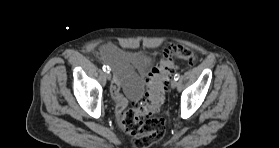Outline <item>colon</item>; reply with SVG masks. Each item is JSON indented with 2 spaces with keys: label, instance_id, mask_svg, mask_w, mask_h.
Instances as JSON below:
<instances>
[{
  "label": "colon",
  "instance_id": "colon-1",
  "mask_svg": "<svg viewBox=\"0 0 279 148\" xmlns=\"http://www.w3.org/2000/svg\"><path fill=\"white\" fill-rule=\"evenodd\" d=\"M177 60L193 63L194 51L181 45H170L164 52L160 65L154 68L147 80L144 100L133 104L119 114L122 130L132 137L135 148H147L159 141L165 133V123L155 114L160 110L171 73Z\"/></svg>",
  "mask_w": 279,
  "mask_h": 148
}]
</instances>
